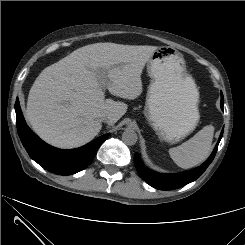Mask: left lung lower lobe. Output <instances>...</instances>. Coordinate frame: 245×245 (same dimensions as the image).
Wrapping results in <instances>:
<instances>
[{
  "instance_id": "left-lung-lower-lobe-1",
  "label": "left lung lower lobe",
  "mask_w": 245,
  "mask_h": 245,
  "mask_svg": "<svg viewBox=\"0 0 245 245\" xmlns=\"http://www.w3.org/2000/svg\"><path fill=\"white\" fill-rule=\"evenodd\" d=\"M223 103H224V98H223V95L221 94V109L222 110H223ZM222 135H223V130L220 134L218 142L212 154L210 155V157L201 166L195 169L189 170V171H185V172L177 173V174H160V173L154 172L148 169L141 162L138 153H136L134 156V164L136 166V169L140 177L152 187L159 189V190H171V189L180 188L196 180L206 170V168L209 166V164L212 162V160L215 157V154L217 152V148L222 138Z\"/></svg>"
}]
</instances>
